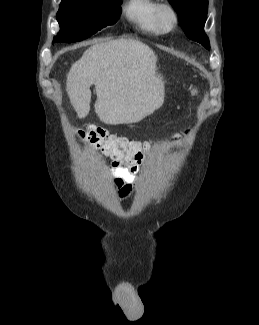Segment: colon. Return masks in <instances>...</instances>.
Here are the masks:
<instances>
[{"label": "colon", "mask_w": 259, "mask_h": 325, "mask_svg": "<svg viewBox=\"0 0 259 325\" xmlns=\"http://www.w3.org/2000/svg\"><path fill=\"white\" fill-rule=\"evenodd\" d=\"M191 92L193 94L198 93L193 87H191ZM77 133L93 147L101 150L113 160L130 163L143 161L155 145V142L134 141L110 134L105 128L96 125L89 126L86 129H79ZM174 139L178 140L177 137Z\"/></svg>", "instance_id": "obj_1"}]
</instances>
